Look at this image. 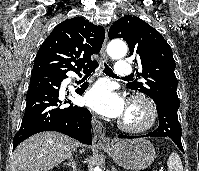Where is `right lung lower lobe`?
<instances>
[{"instance_id": "obj_1", "label": "right lung lower lobe", "mask_w": 199, "mask_h": 171, "mask_svg": "<svg viewBox=\"0 0 199 171\" xmlns=\"http://www.w3.org/2000/svg\"><path fill=\"white\" fill-rule=\"evenodd\" d=\"M98 63L86 69L92 72ZM66 74H32L27 92L25 114L21 127L13 139V148L35 133L57 131L64 133L84 144H92L91 113L84 107L70 104L59 99L61 82ZM88 87L85 83L76 92L82 95Z\"/></svg>"}]
</instances>
